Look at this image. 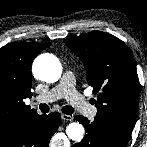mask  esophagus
<instances>
[{
    "mask_svg": "<svg viewBox=\"0 0 147 147\" xmlns=\"http://www.w3.org/2000/svg\"><path fill=\"white\" fill-rule=\"evenodd\" d=\"M61 117L65 121H73V116H71V115L62 114Z\"/></svg>",
    "mask_w": 147,
    "mask_h": 147,
    "instance_id": "1",
    "label": "esophagus"
}]
</instances>
